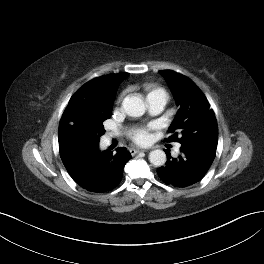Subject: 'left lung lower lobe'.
I'll use <instances>...</instances> for the list:
<instances>
[{
    "mask_svg": "<svg viewBox=\"0 0 264 264\" xmlns=\"http://www.w3.org/2000/svg\"><path fill=\"white\" fill-rule=\"evenodd\" d=\"M180 155L171 157L166 151L165 166L157 169L161 180L178 188L191 186L200 181L211 166L216 147L206 144H182Z\"/></svg>",
    "mask_w": 264,
    "mask_h": 264,
    "instance_id": "left-lung-lower-lobe-1",
    "label": "left lung lower lobe"
}]
</instances>
